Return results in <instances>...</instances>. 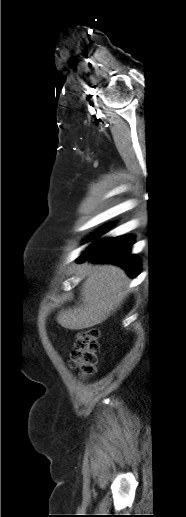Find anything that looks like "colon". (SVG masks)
<instances>
[{
  "mask_svg": "<svg viewBox=\"0 0 186 517\" xmlns=\"http://www.w3.org/2000/svg\"><path fill=\"white\" fill-rule=\"evenodd\" d=\"M99 331L87 329L76 335L74 349L71 353V364L82 376L92 375L96 370L97 352L99 350Z\"/></svg>",
  "mask_w": 186,
  "mask_h": 517,
  "instance_id": "obj_1",
  "label": "colon"
}]
</instances>
